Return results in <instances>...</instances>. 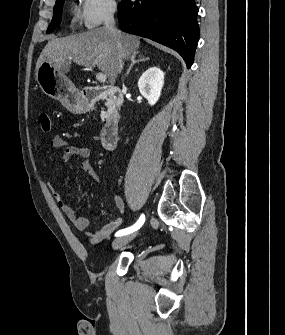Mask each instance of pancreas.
I'll use <instances>...</instances> for the list:
<instances>
[{
    "label": "pancreas",
    "instance_id": "1",
    "mask_svg": "<svg viewBox=\"0 0 285 335\" xmlns=\"http://www.w3.org/2000/svg\"><path fill=\"white\" fill-rule=\"evenodd\" d=\"M101 110H104V107H101ZM111 114L110 112H102V114L98 117L100 122H103L105 119H110Z\"/></svg>",
    "mask_w": 285,
    "mask_h": 335
}]
</instances>
